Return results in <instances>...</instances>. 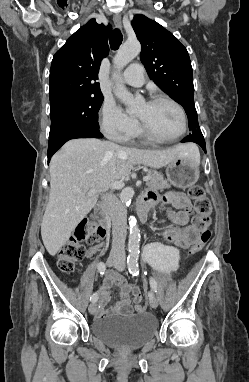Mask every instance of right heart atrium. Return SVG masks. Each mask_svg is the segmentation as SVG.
Returning a JSON list of instances; mask_svg holds the SVG:
<instances>
[{
  "label": "right heart atrium",
  "mask_w": 249,
  "mask_h": 382,
  "mask_svg": "<svg viewBox=\"0 0 249 382\" xmlns=\"http://www.w3.org/2000/svg\"><path fill=\"white\" fill-rule=\"evenodd\" d=\"M100 127L102 132L116 141H128L138 131V122L127 115L112 100H105L101 109Z\"/></svg>",
  "instance_id": "obj_1"
}]
</instances>
